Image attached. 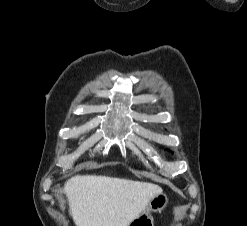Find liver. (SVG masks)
I'll use <instances>...</instances> for the list:
<instances>
[{
  "label": "liver",
  "mask_w": 247,
  "mask_h": 226,
  "mask_svg": "<svg viewBox=\"0 0 247 226\" xmlns=\"http://www.w3.org/2000/svg\"><path fill=\"white\" fill-rule=\"evenodd\" d=\"M161 191L155 184L101 175H77L64 186L76 226H128Z\"/></svg>",
  "instance_id": "obj_1"
}]
</instances>
